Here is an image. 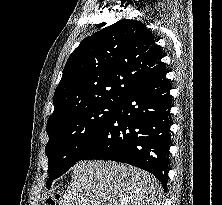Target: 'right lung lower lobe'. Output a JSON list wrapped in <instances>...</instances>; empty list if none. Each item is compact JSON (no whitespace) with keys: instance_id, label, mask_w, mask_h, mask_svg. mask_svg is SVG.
<instances>
[{"instance_id":"1","label":"right lung lower lobe","mask_w":222,"mask_h":205,"mask_svg":"<svg viewBox=\"0 0 222 205\" xmlns=\"http://www.w3.org/2000/svg\"><path fill=\"white\" fill-rule=\"evenodd\" d=\"M167 70L134 87L80 160L103 159L142 168L167 189L171 98Z\"/></svg>"}]
</instances>
